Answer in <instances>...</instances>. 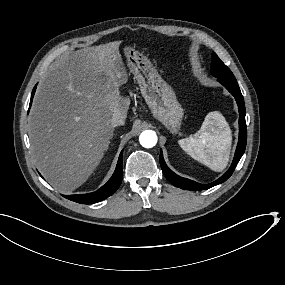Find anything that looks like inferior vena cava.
<instances>
[{
    "mask_svg": "<svg viewBox=\"0 0 285 285\" xmlns=\"http://www.w3.org/2000/svg\"><path fill=\"white\" fill-rule=\"evenodd\" d=\"M125 119L126 117H124L120 111H115L112 116L111 123L114 127L120 126L124 124Z\"/></svg>",
    "mask_w": 285,
    "mask_h": 285,
    "instance_id": "602c4592",
    "label": "inferior vena cava"
}]
</instances>
